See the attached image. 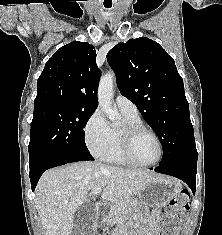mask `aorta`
<instances>
[{
    "instance_id": "aorta-1",
    "label": "aorta",
    "mask_w": 222,
    "mask_h": 235,
    "mask_svg": "<svg viewBox=\"0 0 222 235\" xmlns=\"http://www.w3.org/2000/svg\"><path fill=\"white\" fill-rule=\"evenodd\" d=\"M114 77L112 71L107 72L102 76L98 87L99 106L111 121H117L121 118L118 110L112 106Z\"/></svg>"
}]
</instances>
